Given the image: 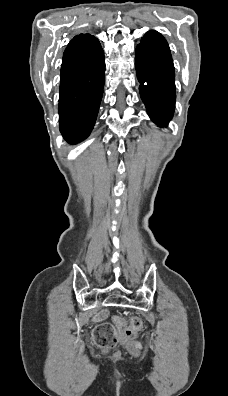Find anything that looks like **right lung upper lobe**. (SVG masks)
<instances>
[{
    "label": "right lung upper lobe",
    "instance_id": "obj_1",
    "mask_svg": "<svg viewBox=\"0 0 228 396\" xmlns=\"http://www.w3.org/2000/svg\"><path fill=\"white\" fill-rule=\"evenodd\" d=\"M74 39L77 41L78 44H81L80 47L83 48H92L98 41L96 37L90 34H80L75 36Z\"/></svg>",
    "mask_w": 228,
    "mask_h": 396
}]
</instances>
